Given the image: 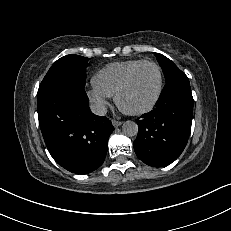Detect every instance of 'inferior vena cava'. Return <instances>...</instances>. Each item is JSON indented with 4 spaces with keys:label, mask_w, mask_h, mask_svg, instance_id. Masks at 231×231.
Masks as SVG:
<instances>
[{
    "label": "inferior vena cava",
    "mask_w": 231,
    "mask_h": 231,
    "mask_svg": "<svg viewBox=\"0 0 231 231\" xmlns=\"http://www.w3.org/2000/svg\"><path fill=\"white\" fill-rule=\"evenodd\" d=\"M90 109H91L92 113L99 115V116H104L107 113V108L102 103L92 104L90 106Z\"/></svg>",
    "instance_id": "602c4592"
}]
</instances>
